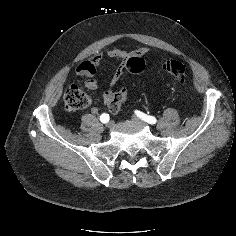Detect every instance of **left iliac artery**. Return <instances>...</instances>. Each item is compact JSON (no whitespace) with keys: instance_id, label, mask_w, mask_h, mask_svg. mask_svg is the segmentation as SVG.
Here are the masks:
<instances>
[{"instance_id":"obj_1","label":"left iliac artery","mask_w":236,"mask_h":236,"mask_svg":"<svg viewBox=\"0 0 236 236\" xmlns=\"http://www.w3.org/2000/svg\"><path fill=\"white\" fill-rule=\"evenodd\" d=\"M136 115L149 124H155L157 122L156 118L147 114H144L138 110L135 111Z\"/></svg>"}]
</instances>
